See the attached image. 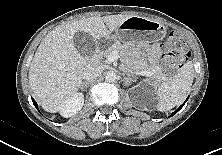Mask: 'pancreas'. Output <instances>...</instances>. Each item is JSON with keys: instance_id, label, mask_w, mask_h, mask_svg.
Masks as SVG:
<instances>
[{"instance_id": "cf45deb5", "label": "pancreas", "mask_w": 222, "mask_h": 155, "mask_svg": "<svg viewBox=\"0 0 222 155\" xmlns=\"http://www.w3.org/2000/svg\"><path fill=\"white\" fill-rule=\"evenodd\" d=\"M134 50L133 47L128 46L125 48L119 42H116L110 48L102 52V55L107 58L111 52H118L129 70V75H131L132 72H138L139 70H151L156 78L161 79L165 77L160 66H150L146 61L137 59Z\"/></svg>"}]
</instances>
